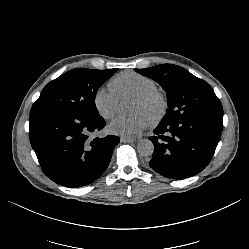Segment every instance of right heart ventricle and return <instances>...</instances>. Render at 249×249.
<instances>
[{"instance_id":"obj_1","label":"right heart ventricle","mask_w":249,"mask_h":249,"mask_svg":"<svg viewBox=\"0 0 249 249\" xmlns=\"http://www.w3.org/2000/svg\"><path fill=\"white\" fill-rule=\"evenodd\" d=\"M110 86L118 97L136 96L157 89V83L154 79L135 71L120 72L112 78Z\"/></svg>"}]
</instances>
